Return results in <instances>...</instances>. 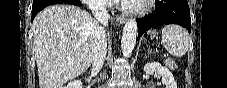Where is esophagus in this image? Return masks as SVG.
<instances>
[{"label": "esophagus", "mask_w": 227, "mask_h": 88, "mask_svg": "<svg viewBox=\"0 0 227 88\" xmlns=\"http://www.w3.org/2000/svg\"><path fill=\"white\" fill-rule=\"evenodd\" d=\"M115 19L119 24H124L126 22V17H124L123 15H118L115 17Z\"/></svg>", "instance_id": "esophagus-1"}]
</instances>
